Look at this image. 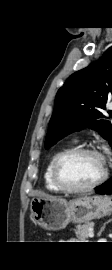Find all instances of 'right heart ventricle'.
<instances>
[{
  "instance_id": "1",
  "label": "right heart ventricle",
  "mask_w": 112,
  "mask_h": 270,
  "mask_svg": "<svg viewBox=\"0 0 112 270\" xmlns=\"http://www.w3.org/2000/svg\"><path fill=\"white\" fill-rule=\"evenodd\" d=\"M66 148L59 149L55 151L51 157L49 158L47 165L44 170L43 178H44V184L45 187L48 191L53 192V193H61L62 191L55 185L53 178H52V167H53V162L57 155L65 150Z\"/></svg>"
}]
</instances>
